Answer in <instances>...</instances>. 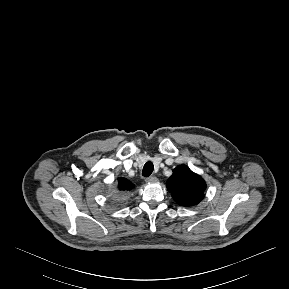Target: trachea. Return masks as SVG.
<instances>
[{
  "label": "trachea",
  "instance_id": "obj_1",
  "mask_svg": "<svg viewBox=\"0 0 289 289\" xmlns=\"http://www.w3.org/2000/svg\"><path fill=\"white\" fill-rule=\"evenodd\" d=\"M154 170V165L152 162L148 161L147 163H145L143 170H142V175L144 177H148L152 174Z\"/></svg>",
  "mask_w": 289,
  "mask_h": 289
}]
</instances>
